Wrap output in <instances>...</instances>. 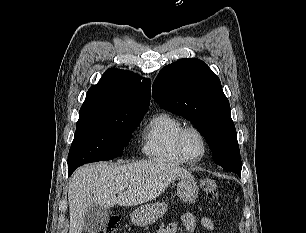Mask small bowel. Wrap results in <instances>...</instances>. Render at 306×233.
I'll use <instances>...</instances> for the list:
<instances>
[{
  "mask_svg": "<svg viewBox=\"0 0 306 233\" xmlns=\"http://www.w3.org/2000/svg\"><path fill=\"white\" fill-rule=\"evenodd\" d=\"M182 225L186 233H193L196 228L197 220L192 213L182 215ZM198 223L205 229L213 231L215 228L214 222L210 217H202ZM157 233H178V223L171 222L166 227L161 228Z\"/></svg>",
  "mask_w": 306,
  "mask_h": 233,
  "instance_id": "obj_1",
  "label": "small bowel"
}]
</instances>
